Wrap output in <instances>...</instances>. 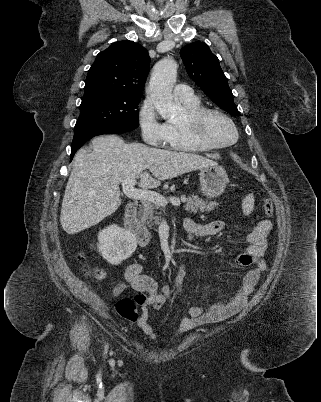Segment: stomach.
I'll list each match as a JSON object with an SVG mask.
<instances>
[{
  "mask_svg": "<svg viewBox=\"0 0 321 402\" xmlns=\"http://www.w3.org/2000/svg\"><path fill=\"white\" fill-rule=\"evenodd\" d=\"M199 178L201 191L207 197L220 196L228 182L225 169L218 165L201 168Z\"/></svg>",
  "mask_w": 321,
  "mask_h": 402,
  "instance_id": "1",
  "label": "stomach"
}]
</instances>
